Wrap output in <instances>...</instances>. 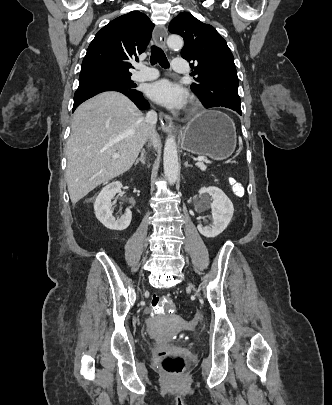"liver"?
<instances>
[{"label": "liver", "mask_w": 332, "mask_h": 405, "mask_svg": "<svg viewBox=\"0 0 332 405\" xmlns=\"http://www.w3.org/2000/svg\"><path fill=\"white\" fill-rule=\"evenodd\" d=\"M148 139L160 145L157 132L149 134L143 113L123 94L104 92L82 103L66 145L71 202L128 171Z\"/></svg>", "instance_id": "6515ba94"}]
</instances>
